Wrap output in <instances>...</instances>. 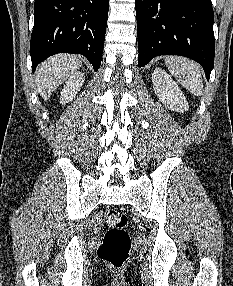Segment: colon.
I'll return each mask as SVG.
<instances>
[{"label": "colon", "mask_w": 233, "mask_h": 286, "mask_svg": "<svg viewBox=\"0 0 233 286\" xmlns=\"http://www.w3.org/2000/svg\"><path fill=\"white\" fill-rule=\"evenodd\" d=\"M106 233L98 248L99 258L113 270L122 269L130 255V237L126 231L127 216L119 210H109L104 217Z\"/></svg>", "instance_id": "1"}]
</instances>
